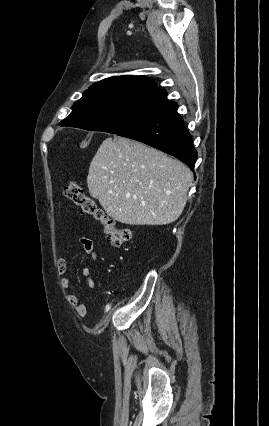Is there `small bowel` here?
<instances>
[{
  "mask_svg": "<svg viewBox=\"0 0 269 426\" xmlns=\"http://www.w3.org/2000/svg\"><path fill=\"white\" fill-rule=\"evenodd\" d=\"M78 243L83 247L86 257L91 262L96 261L97 253L95 251L92 239L88 237H81L78 240ZM66 271H67V260L65 257H61L57 261V272L59 275L63 276L65 275ZM82 274L86 280L88 287L94 291L96 289V282L91 276V268L85 267L82 271ZM61 287L65 291H70L72 287L71 279L69 277H63L61 279ZM66 299H67V302L74 308L78 316H85L87 314L88 308L84 303H82L80 297L77 294L73 292H69L66 296Z\"/></svg>",
  "mask_w": 269,
  "mask_h": 426,
  "instance_id": "c3829d8e",
  "label": "small bowel"
}]
</instances>
